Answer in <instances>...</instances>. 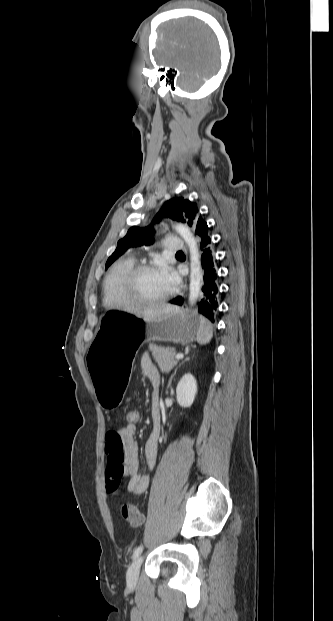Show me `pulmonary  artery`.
<instances>
[{
	"instance_id": "pulmonary-artery-1",
	"label": "pulmonary artery",
	"mask_w": 333,
	"mask_h": 621,
	"mask_svg": "<svg viewBox=\"0 0 333 621\" xmlns=\"http://www.w3.org/2000/svg\"><path fill=\"white\" fill-rule=\"evenodd\" d=\"M164 248L169 252L182 251L185 248V243L179 237H167L164 241Z\"/></svg>"
}]
</instances>
